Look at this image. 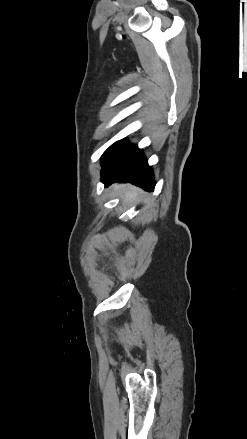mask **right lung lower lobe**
<instances>
[{
	"label": "right lung lower lobe",
	"instance_id": "right-lung-lower-lobe-1",
	"mask_svg": "<svg viewBox=\"0 0 247 439\" xmlns=\"http://www.w3.org/2000/svg\"><path fill=\"white\" fill-rule=\"evenodd\" d=\"M101 181L106 186L113 182H131L145 190L155 186L152 169L141 149L125 145L102 163Z\"/></svg>",
	"mask_w": 247,
	"mask_h": 439
}]
</instances>
